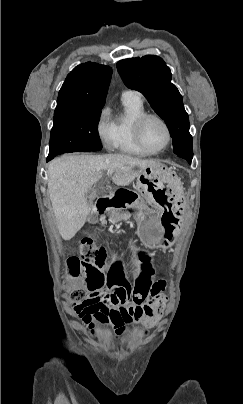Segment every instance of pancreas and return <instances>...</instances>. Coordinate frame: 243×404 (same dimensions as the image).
I'll list each match as a JSON object with an SVG mask.
<instances>
[{
  "instance_id": "1",
  "label": "pancreas",
  "mask_w": 243,
  "mask_h": 404,
  "mask_svg": "<svg viewBox=\"0 0 243 404\" xmlns=\"http://www.w3.org/2000/svg\"><path fill=\"white\" fill-rule=\"evenodd\" d=\"M128 217H130V218H128ZM123 219L126 221H130V219H133V216H132V214H128V213L120 214V210H115V208H113V210H111L110 218H106L105 222H102V224H106L109 222H110V224H117V222H120V220H123Z\"/></svg>"
}]
</instances>
